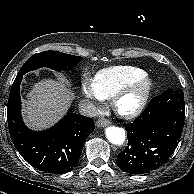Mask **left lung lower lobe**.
<instances>
[{
  "label": "left lung lower lobe",
  "mask_w": 194,
  "mask_h": 194,
  "mask_svg": "<svg viewBox=\"0 0 194 194\" xmlns=\"http://www.w3.org/2000/svg\"><path fill=\"white\" fill-rule=\"evenodd\" d=\"M185 119L184 93L168 89L133 122L123 124L128 146L117 157L124 172L142 174L163 165L176 149Z\"/></svg>",
  "instance_id": "0a47b994"
}]
</instances>
